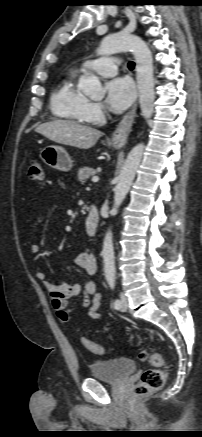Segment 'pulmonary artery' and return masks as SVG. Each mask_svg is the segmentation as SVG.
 Segmentation results:
<instances>
[{
  "mask_svg": "<svg viewBox=\"0 0 202 437\" xmlns=\"http://www.w3.org/2000/svg\"><path fill=\"white\" fill-rule=\"evenodd\" d=\"M120 61L114 57H101L86 61L82 66L83 72H95L104 77H111L117 74Z\"/></svg>",
  "mask_w": 202,
  "mask_h": 437,
  "instance_id": "pulmonary-artery-1",
  "label": "pulmonary artery"
}]
</instances>
